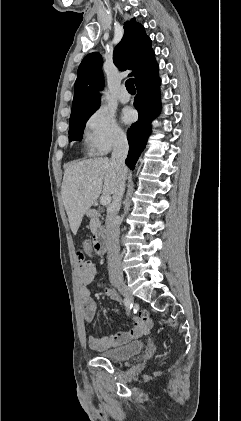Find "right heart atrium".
<instances>
[{
    "label": "right heart atrium",
    "mask_w": 241,
    "mask_h": 421,
    "mask_svg": "<svg viewBox=\"0 0 241 421\" xmlns=\"http://www.w3.org/2000/svg\"><path fill=\"white\" fill-rule=\"evenodd\" d=\"M84 135L89 151L94 155H104L126 142L124 130L104 109H98L88 117Z\"/></svg>",
    "instance_id": "d8ad5b80"
}]
</instances>
